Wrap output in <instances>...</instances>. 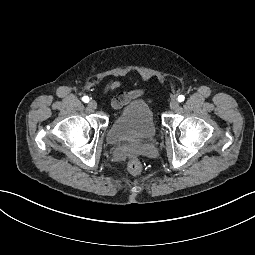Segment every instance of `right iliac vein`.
Returning a JSON list of instances; mask_svg holds the SVG:
<instances>
[{"label": "right iliac vein", "instance_id": "1", "mask_svg": "<svg viewBox=\"0 0 255 255\" xmlns=\"http://www.w3.org/2000/svg\"><path fill=\"white\" fill-rule=\"evenodd\" d=\"M89 108L96 109L97 108V102L94 100H90L88 103Z\"/></svg>", "mask_w": 255, "mask_h": 255}]
</instances>
